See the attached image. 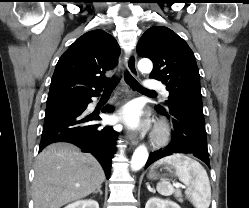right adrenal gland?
<instances>
[{"label": "right adrenal gland", "mask_w": 249, "mask_h": 208, "mask_svg": "<svg viewBox=\"0 0 249 208\" xmlns=\"http://www.w3.org/2000/svg\"><path fill=\"white\" fill-rule=\"evenodd\" d=\"M99 193L100 196L103 194V192L101 191V187H99L96 191L93 192V194H97Z\"/></svg>", "instance_id": "1"}]
</instances>
